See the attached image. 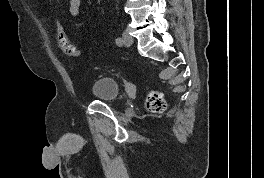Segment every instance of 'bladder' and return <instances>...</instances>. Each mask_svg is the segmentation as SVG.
I'll return each mask as SVG.
<instances>
[{"label": "bladder", "instance_id": "obj_1", "mask_svg": "<svg viewBox=\"0 0 264 178\" xmlns=\"http://www.w3.org/2000/svg\"><path fill=\"white\" fill-rule=\"evenodd\" d=\"M90 90L95 99L106 103L116 102L121 93L119 84L107 76L97 79Z\"/></svg>", "mask_w": 264, "mask_h": 178}]
</instances>
